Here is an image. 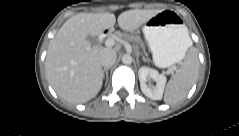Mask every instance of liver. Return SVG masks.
Returning a JSON list of instances; mask_svg holds the SVG:
<instances>
[{
  "label": "liver",
  "instance_id": "obj_1",
  "mask_svg": "<svg viewBox=\"0 0 239 136\" xmlns=\"http://www.w3.org/2000/svg\"><path fill=\"white\" fill-rule=\"evenodd\" d=\"M160 10H129L118 16L124 31H135ZM113 13H79L69 18L50 41L45 61L46 76L56 93L70 103L94 98L103 82L99 53L105 48L91 47L88 36L113 28ZM111 49V48H108Z\"/></svg>",
  "mask_w": 239,
  "mask_h": 136
}]
</instances>
